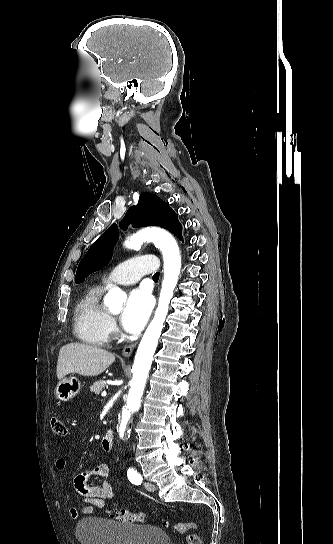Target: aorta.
Instances as JSON below:
<instances>
[{"label":"aorta","instance_id":"aorta-1","mask_svg":"<svg viewBox=\"0 0 333 544\" xmlns=\"http://www.w3.org/2000/svg\"><path fill=\"white\" fill-rule=\"evenodd\" d=\"M150 241L162 252L164 259V279L154 318L148 325L137 349L132 367L133 378L128 394V401L122 411L119 434L125 440L129 438L128 422L131 414L137 411L141 404L144 387L151 368L153 355L158 345L163 324L166 319L169 303L174 294L181 270V257L175 239L165 230L145 228L130 236L125 246L138 248L144 242ZM126 301L125 293L119 287L111 288L104 298V304L112 311L122 309Z\"/></svg>","mask_w":333,"mask_h":544}]
</instances>
